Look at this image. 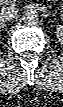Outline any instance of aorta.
<instances>
[{
    "label": "aorta",
    "mask_w": 63,
    "mask_h": 107,
    "mask_svg": "<svg viewBox=\"0 0 63 107\" xmlns=\"http://www.w3.org/2000/svg\"><path fill=\"white\" fill-rule=\"evenodd\" d=\"M23 20L26 24L35 25L38 23L39 14L36 10H27L24 12Z\"/></svg>",
    "instance_id": "obj_1"
}]
</instances>
